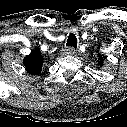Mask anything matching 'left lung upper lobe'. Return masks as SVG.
Returning a JSON list of instances; mask_svg holds the SVG:
<instances>
[{
    "label": "left lung upper lobe",
    "instance_id": "left-lung-upper-lobe-1",
    "mask_svg": "<svg viewBox=\"0 0 127 127\" xmlns=\"http://www.w3.org/2000/svg\"><path fill=\"white\" fill-rule=\"evenodd\" d=\"M104 59H105L104 57H102L100 54H98V64H99L100 66L103 65Z\"/></svg>",
    "mask_w": 127,
    "mask_h": 127
}]
</instances>
